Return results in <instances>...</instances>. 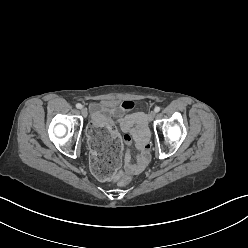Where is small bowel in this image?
<instances>
[{
    "instance_id": "obj_1",
    "label": "small bowel",
    "mask_w": 248,
    "mask_h": 248,
    "mask_svg": "<svg viewBox=\"0 0 248 248\" xmlns=\"http://www.w3.org/2000/svg\"><path fill=\"white\" fill-rule=\"evenodd\" d=\"M135 104L132 101H124L116 103L115 101H104L102 103V110L109 117L114 116L118 120V124L124 132L123 140L130 146L134 142L139 154L134 159L128 149L124 157V169L128 174H137L141 172L149 161L150 145L148 139V129L146 117L140 112H131ZM109 117L104 119L110 126L113 122ZM115 133V131H111ZM122 172L119 173V176Z\"/></svg>"
}]
</instances>
